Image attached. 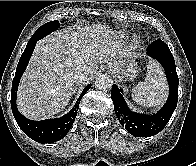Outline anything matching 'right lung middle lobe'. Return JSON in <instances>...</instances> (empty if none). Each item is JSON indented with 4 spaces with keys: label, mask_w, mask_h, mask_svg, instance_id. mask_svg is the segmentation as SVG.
<instances>
[{
    "label": "right lung middle lobe",
    "mask_w": 196,
    "mask_h": 166,
    "mask_svg": "<svg viewBox=\"0 0 196 166\" xmlns=\"http://www.w3.org/2000/svg\"><path fill=\"white\" fill-rule=\"evenodd\" d=\"M60 23L55 20L48 22L44 25H42L38 30L33 34L31 39L29 41H38L42 39L43 37L47 36L49 33L55 31L59 28Z\"/></svg>",
    "instance_id": "obj_1"
}]
</instances>
